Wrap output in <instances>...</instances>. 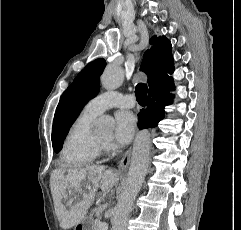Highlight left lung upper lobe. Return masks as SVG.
Returning a JSON list of instances; mask_svg holds the SVG:
<instances>
[{
	"mask_svg": "<svg viewBox=\"0 0 241 230\" xmlns=\"http://www.w3.org/2000/svg\"><path fill=\"white\" fill-rule=\"evenodd\" d=\"M106 66L102 58L88 64L63 93L53 121L52 146L56 153L63 147L67 133L83 107L99 92V78Z\"/></svg>",
	"mask_w": 241,
	"mask_h": 230,
	"instance_id": "left-lung-upper-lobe-1",
	"label": "left lung upper lobe"
}]
</instances>
